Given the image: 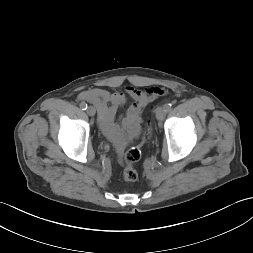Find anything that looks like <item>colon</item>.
Segmentation results:
<instances>
[{
  "instance_id": "1",
  "label": "colon",
  "mask_w": 253,
  "mask_h": 253,
  "mask_svg": "<svg viewBox=\"0 0 253 253\" xmlns=\"http://www.w3.org/2000/svg\"><path fill=\"white\" fill-rule=\"evenodd\" d=\"M150 126L146 127L143 140H146L150 135ZM141 157V146L131 147L124 156L122 175L126 181H135L138 178V173L135 169V163Z\"/></svg>"
}]
</instances>
